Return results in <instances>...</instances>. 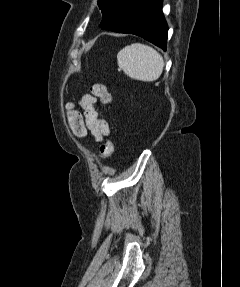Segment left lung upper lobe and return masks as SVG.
<instances>
[{
    "mask_svg": "<svg viewBox=\"0 0 240 287\" xmlns=\"http://www.w3.org/2000/svg\"><path fill=\"white\" fill-rule=\"evenodd\" d=\"M108 0H98V6L99 8L101 9V11H103L106 3H107Z\"/></svg>",
    "mask_w": 240,
    "mask_h": 287,
    "instance_id": "obj_1",
    "label": "left lung upper lobe"
}]
</instances>
